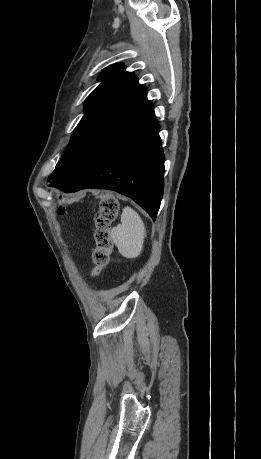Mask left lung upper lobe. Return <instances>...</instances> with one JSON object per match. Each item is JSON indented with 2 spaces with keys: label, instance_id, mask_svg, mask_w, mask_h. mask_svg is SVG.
Returning a JSON list of instances; mask_svg holds the SVG:
<instances>
[{
  "label": "left lung upper lobe",
  "instance_id": "obj_1",
  "mask_svg": "<svg viewBox=\"0 0 261 459\" xmlns=\"http://www.w3.org/2000/svg\"><path fill=\"white\" fill-rule=\"evenodd\" d=\"M98 80L101 84L86 99L85 115L48 178L51 187H57L90 160L147 101V89L134 73L125 71L123 64L106 68Z\"/></svg>",
  "mask_w": 261,
  "mask_h": 459
}]
</instances>
